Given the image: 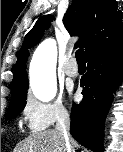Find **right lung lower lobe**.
<instances>
[{
	"instance_id": "obj_1",
	"label": "right lung lower lobe",
	"mask_w": 123,
	"mask_h": 152,
	"mask_svg": "<svg viewBox=\"0 0 123 152\" xmlns=\"http://www.w3.org/2000/svg\"><path fill=\"white\" fill-rule=\"evenodd\" d=\"M87 73L81 78L83 100L73 104L71 135L94 152H103L104 122L113 92L122 80L123 32L86 57Z\"/></svg>"
}]
</instances>
